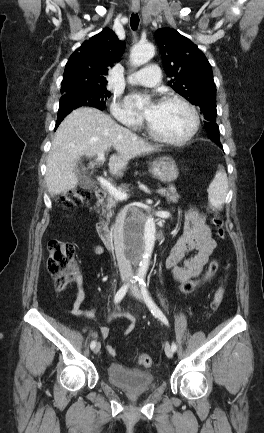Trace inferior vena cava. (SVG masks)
Returning a JSON list of instances; mask_svg holds the SVG:
<instances>
[{"label":"inferior vena cava","instance_id":"inferior-vena-cava-1","mask_svg":"<svg viewBox=\"0 0 264 433\" xmlns=\"http://www.w3.org/2000/svg\"><path fill=\"white\" fill-rule=\"evenodd\" d=\"M124 213L118 215L115 224V232L113 236V250L116 259H118V267L120 271L121 278H131L133 276L130 261L127 260V254L124 250V232H123V221ZM131 252H141V251H131Z\"/></svg>","mask_w":264,"mask_h":433}]
</instances>
